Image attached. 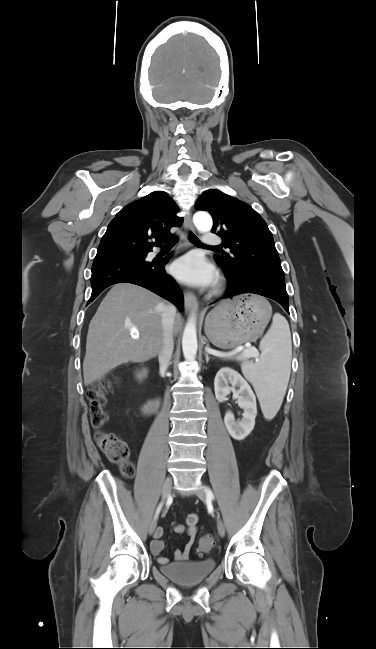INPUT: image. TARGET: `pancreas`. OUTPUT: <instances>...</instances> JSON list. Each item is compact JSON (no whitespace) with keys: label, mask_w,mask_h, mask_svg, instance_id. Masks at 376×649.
I'll return each instance as SVG.
<instances>
[{"label":"pancreas","mask_w":376,"mask_h":649,"mask_svg":"<svg viewBox=\"0 0 376 649\" xmlns=\"http://www.w3.org/2000/svg\"><path fill=\"white\" fill-rule=\"evenodd\" d=\"M247 351H248V349H247V350H244V351H243V352L241 353V355H244V354H246V353H247Z\"/></svg>","instance_id":"pancreas-1"}]
</instances>
